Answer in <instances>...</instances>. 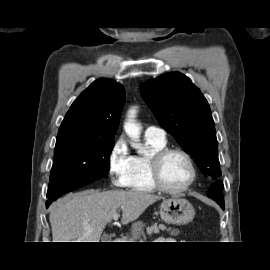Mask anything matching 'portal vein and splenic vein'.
I'll return each instance as SVG.
<instances>
[{"label": "portal vein and splenic vein", "instance_id": "portal-vein-and-splenic-vein-1", "mask_svg": "<svg viewBox=\"0 0 270 270\" xmlns=\"http://www.w3.org/2000/svg\"><path fill=\"white\" fill-rule=\"evenodd\" d=\"M118 218H119V214H118V213H115V214L113 215V219H114L115 221H117Z\"/></svg>", "mask_w": 270, "mask_h": 270}]
</instances>
